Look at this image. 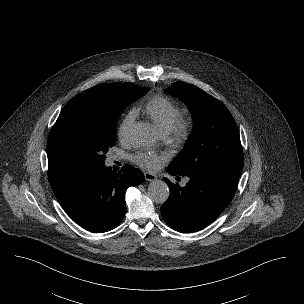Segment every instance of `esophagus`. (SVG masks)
I'll return each mask as SVG.
<instances>
[{"mask_svg": "<svg viewBox=\"0 0 304 304\" xmlns=\"http://www.w3.org/2000/svg\"><path fill=\"white\" fill-rule=\"evenodd\" d=\"M144 176H145V179H146L147 181H150V182L156 181V180H157V176H156V175L151 174V173H148V172L145 173Z\"/></svg>", "mask_w": 304, "mask_h": 304, "instance_id": "obj_1", "label": "esophagus"}]
</instances>
